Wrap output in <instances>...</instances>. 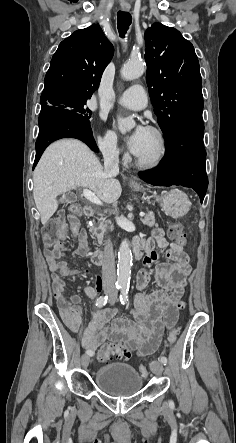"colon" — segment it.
I'll list each match as a JSON object with an SVG mask.
<instances>
[{"label": "colon", "mask_w": 236, "mask_h": 443, "mask_svg": "<svg viewBox=\"0 0 236 443\" xmlns=\"http://www.w3.org/2000/svg\"><path fill=\"white\" fill-rule=\"evenodd\" d=\"M67 221L70 225L72 233L79 231V219L81 216V207L78 204H70L66 209ZM169 234L174 241L183 246L187 244V234L182 224L173 223L170 226ZM64 236V224L60 219H54L48 223L43 230V238L49 245L50 250H53L56 256L60 255L61 246L59 244V238ZM180 334V328L174 327L167 339V348L173 349L178 341ZM99 360L101 362H109L112 360H128L131 357V350L129 347L117 344L106 343L101 346L98 353ZM139 371L142 376L146 377L148 371L145 365L139 367Z\"/></svg>", "instance_id": "obj_1"}]
</instances>
